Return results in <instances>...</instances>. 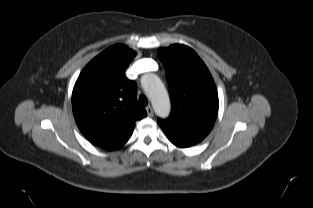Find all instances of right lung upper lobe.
Here are the masks:
<instances>
[{
    "label": "right lung upper lobe",
    "instance_id": "obj_1",
    "mask_svg": "<svg viewBox=\"0 0 313 208\" xmlns=\"http://www.w3.org/2000/svg\"><path fill=\"white\" fill-rule=\"evenodd\" d=\"M136 52L117 44L91 60L79 75L72 93V109L80 131L106 150L121 148L136 120L147 113L137 102V88L125 70Z\"/></svg>",
    "mask_w": 313,
    "mask_h": 208
}]
</instances>
